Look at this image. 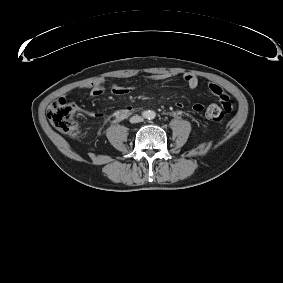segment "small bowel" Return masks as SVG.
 I'll list each match as a JSON object with an SVG mask.
<instances>
[{
  "mask_svg": "<svg viewBox=\"0 0 283 283\" xmlns=\"http://www.w3.org/2000/svg\"><path fill=\"white\" fill-rule=\"evenodd\" d=\"M152 78L158 81L156 84L153 85V88H160L163 86V84L165 83L168 77L167 76H153ZM183 80L190 89H196L199 86V80L193 74H190V73L184 74ZM83 88L89 90L91 98H98L101 95H103L105 91V85L102 79H95L91 82H88L83 86ZM208 88L213 95L218 97L221 104H225L226 100L230 102L229 96L224 92V90L219 85L210 84ZM110 90L115 95L127 96L133 93L135 88L131 86H121V85L114 84L111 86ZM176 107L180 110L183 108V104L181 102H177ZM134 109L135 108L132 105H126L120 110V112L116 113V116L128 114L134 111ZM193 110L195 112H202L204 110V105L201 103H196L193 105ZM93 116L106 117V114L105 113H93Z\"/></svg>",
  "mask_w": 283,
  "mask_h": 283,
  "instance_id": "obj_1",
  "label": "small bowel"
}]
</instances>
